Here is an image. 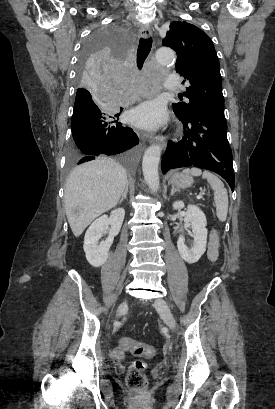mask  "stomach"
I'll list each match as a JSON object with an SVG mask.
<instances>
[{
  "label": "stomach",
  "instance_id": "1",
  "mask_svg": "<svg viewBox=\"0 0 275 409\" xmlns=\"http://www.w3.org/2000/svg\"><path fill=\"white\" fill-rule=\"evenodd\" d=\"M169 182L173 186H178V188H187V186L193 184V178L190 174H185V172H174L171 178H169Z\"/></svg>",
  "mask_w": 275,
  "mask_h": 409
}]
</instances>
